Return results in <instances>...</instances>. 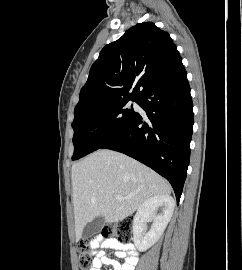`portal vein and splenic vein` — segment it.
Here are the masks:
<instances>
[{"label": "portal vein and splenic vein", "instance_id": "portal-vein-and-splenic-vein-1", "mask_svg": "<svg viewBox=\"0 0 242 270\" xmlns=\"http://www.w3.org/2000/svg\"><path fill=\"white\" fill-rule=\"evenodd\" d=\"M116 200H124V198L121 195H115Z\"/></svg>", "mask_w": 242, "mask_h": 270}]
</instances>
